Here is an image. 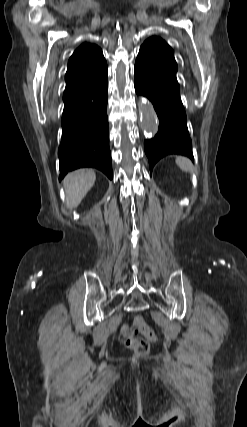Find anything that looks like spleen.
Segmentation results:
<instances>
[{"label":"spleen","instance_id":"1","mask_svg":"<svg viewBox=\"0 0 247 427\" xmlns=\"http://www.w3.org/2000/svg\"><path fill=\"white\" fill-rule=\"evenodd\" d=\"M176 164L184 172H192L193 171V165H192L191 161L186 157L178 156L176 158Z\"/></svg>","mask_w":247,"mask_h":427}]
</instances>
